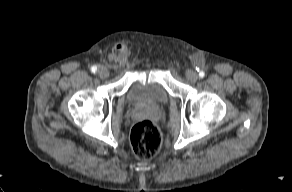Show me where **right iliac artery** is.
Here are the masks:
<instances>
[{
    "mask_svg": "<svg viewBox=\"0 0 292 192\" xmlns=\"http://www.w3.org/2000/svg\"><path fill=\"white\" fill-rule=\"evenodd\" d=\"M91 71H92L93 73H96V72H97V67H96V66H92V67H91Z\"/></svg>",
    "mask_w": 292,
    "mask_h": 192,
    "instance_id": "82829eb1",
    "label": "right iliac artery"
}]
</instances>
